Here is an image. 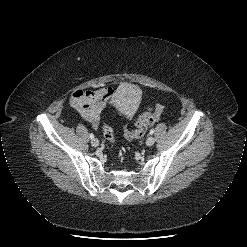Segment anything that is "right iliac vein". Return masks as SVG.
<instances>
[{
    "label": "right iliac vein",
    "instance_id": "obj_1",
    "mask_svg": "<svg viewBox=\"0 0 247 247\" xmlns=\"http://www.w3.org/2000/svg\"><path fill=\"white\" fill-rule=\"evenodd\" d=\"M91 144H92V146L97 147V146H99V140L98 139H93L91 141Z\"/></svg>",
    "mask_w": 247,
    "mask_h": 247
}]
</instances>
